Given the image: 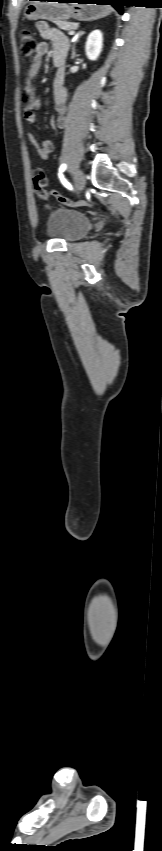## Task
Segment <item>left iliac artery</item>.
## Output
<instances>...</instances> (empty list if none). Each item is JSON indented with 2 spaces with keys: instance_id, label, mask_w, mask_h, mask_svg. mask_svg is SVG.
I'll list each match as a JSON object with an SVG mask.
<instances>
[{
  "instance_id": "1",
  "label": "left iliac artery",
  "mask_w": 162,
  "mask_h": 851,
  "mask_svg": "<svg viewBox=\"0 0 162 851\" xmlns=\"http://www.w3.org/2000/svg\"><path fill=\"white\" fill-rule=\"evenodd\" d=\"M65 169H66V164H62V165L60 166V168H59V178H60V180H61L62 184H63V185H64L67 189L72 190V186H71V185H70V184L66 181V179L64 178V176H63V174H62V173L65 171Z\"/></svg>"
}]
</instances>
